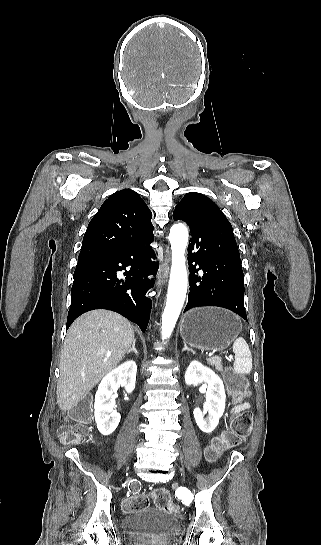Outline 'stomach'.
<instances>
[{
	"mask_svg": "<svg viewBox=\"0 0 321 545\" xmlns=\"http://www.w3.org/2000/svg\"><path fill=\"white\" fill-rule=\"evenodd\" d=\"M242 323L219 307H199L185 313L180 327L184 343L205 351H223L239 335Z\"/></svg>",
	"mask_w": 321,
	"mask_h": 545,
	"instance_id": "0dacf381",
	"label": "stomach"
}]
</instances>
